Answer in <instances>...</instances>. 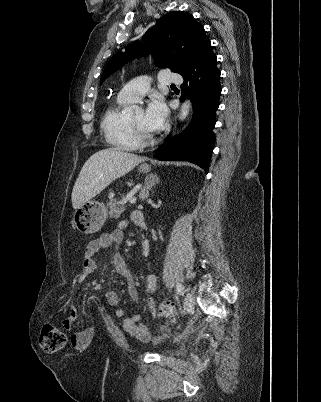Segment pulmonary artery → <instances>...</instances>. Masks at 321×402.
<instances>
[{"label":"pulmonary artery","mask_w":321,"mask_h":402,"mask_svg":"<svg viewBox=\"0 0 321 402\" xmlns=\"http://www.w3.org/2000/svg\"><path fill=\"white\" fill-rule=\"evenodd\" d=\"M161 85L181 84L183 77L170 70H163L159 75ZM149 79L146 76L138 77L126 84L118 93V99L126 102H135L143 97L149 88Z\"/></svg>","instance_id":"e3ab8cb5"}]
</instances>
